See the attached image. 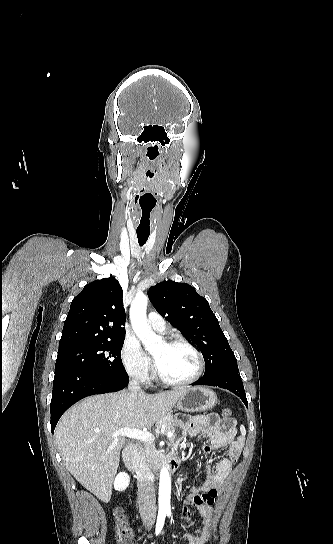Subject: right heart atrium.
Segmentation results:
<instances>
[{"instance_id": "obj_1", "label": "right heart atrium", "mask_w": 333, "mask_h": 544, "mask_svg": "<svg viewBox=\"0 0 333 544\" xmlns=\"http://www.w3.org/2000/svg\"><path fill=\"white\" fill-rule=\"evenodd\" d=\"M122 362L129 376L139 382H147L151 373V361L139 342L133 337H127L124 341Z\"/></svg>"}]
</instances>
